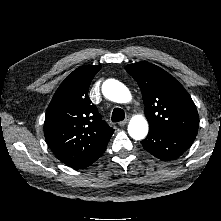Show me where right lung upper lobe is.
<instances>
[{
  "label": "right lung upper lobe",
  "mask_w": 221,
  "mask_h": 221,
  "mask_svg": "<svg viewBox=\"0 0 221 221\" xmlns=\"http://www.w3.org/2000/svg\"><path fill=\"white\" fill-rule=\"evenodd\" d=\"M99 65L81 66L59 86L46 111L44 135L57 158L78 167L103 152L114 132L88 97Z\"/></svg>",
  "instance_id": "cb5924a9"
}]
</instances>
